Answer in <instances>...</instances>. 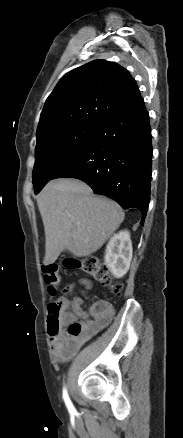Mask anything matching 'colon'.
<instances>
[{"label": "colon", "instance_id": "1", "mask_svg": "<svg viewBox=\"0 0 183 438\" xmlns=\"http://www.w3.org/2000/svg\"><path fill=\"white\" fill-rule=\"evenodd\" d=\"M64 266L67 269L82 270L114 293H118L121 288L120 284L114 281L108 267L94 256L81 258L69 257L64 261ZM43 271L48 292L53 296L56 294L60 282L58 266L56 264H50L45 266ZM76 304V301H71L66 296H61L59 299L48 303L47 323L49 334H56L59 331L64 316L71 312ZM66 327L67 335L71 338L78 337L83 331V325L77 319L69 322Z\"/></svg>", "mask_w": 183, "mask_h": 438}]
</instances>
